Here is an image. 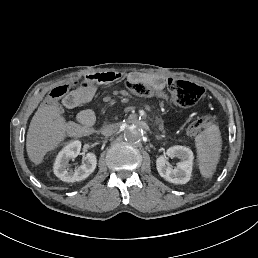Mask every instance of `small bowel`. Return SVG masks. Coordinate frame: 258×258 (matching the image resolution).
<instances>
[{"label":"small bowel","mask_w":258,"mask_h":258,"mask_svg":"<svg viewBox=\"0 0 258 258\" xmlns=\"http://www.w3.org/2000/svg\"><path fill=\"white\" fill-rule=\"evenodd\" d=\"M96 86L84 81L76 90L69 93L64 99L63 104L68 108H74L89 102L96 93ZM78 123L87 131L91 130L95 124V114L91 110H82L77 115Z\"/></svg>","instance_id":"1"}]
</instances>
